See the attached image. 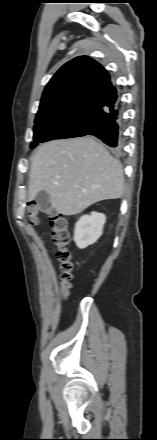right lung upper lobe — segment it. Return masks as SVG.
<instances>
[{
    "mask_svg": "<svg viewBox=\"0 0 157 440\" xmlns=\"http://www.w3.org/2000/svg\"><path fill=\"white\" fill-rule=\"evenodd\" d=\"M118 105L117 91L107 71L80 56L67 62L47 84L35 122L77 120L86 126Z\"/></svg>",
    "mask_w": 157,
    "mask_h": 440,
    "instance_id": "obj_1",
    "label": "right lung upper lobe"
}]
</instances>
